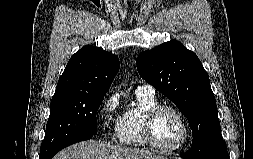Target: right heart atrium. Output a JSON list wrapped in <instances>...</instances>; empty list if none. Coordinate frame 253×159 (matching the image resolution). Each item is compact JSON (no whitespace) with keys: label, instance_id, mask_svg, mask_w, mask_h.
Returning <instances> with one entry per match:
<instances>
[{"label":"right heart atrium","instance_id":"1","mask_svg":"<svg viewBox=\"0 0 253 159\" xmlns=\"http://www.w3.org/2000/svg\"><path fill=\"white\" fill-rule=\"evenodd\" d=\"M100 114L103 122L116 132L121 120L119 97L117 94H110L104 99L100 106Z\"/></svg>","mask_w":253,"mask_h":159}]
</instances>
